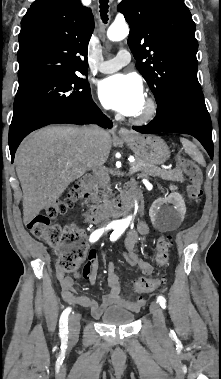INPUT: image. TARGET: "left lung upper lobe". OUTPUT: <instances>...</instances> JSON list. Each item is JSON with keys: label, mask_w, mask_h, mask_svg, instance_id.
Instances as JSON below:
<instances>
[{"label": "left lung upper lobe", "mask_w": 221, "mask_h": 379, "mask_svg": "<svg viewBox=\"0 0 221 379\" xmlns=\"http://www.w3.org/2000/svg\"><path fill=\"white\" fill-rule=\"evenodd\" d=\"M128 45L157 105L181 99L204 105L197 79L195 23L183 0H122Z\"/></svg>", "instance_id": "5c2ea615"}]
</instances>
